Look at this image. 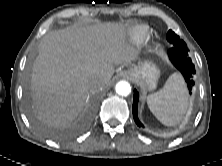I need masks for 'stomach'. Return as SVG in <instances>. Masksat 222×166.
Returning a JSON list of instances; mask_svg holds the SVG:
<instances>
[{"label":"stomach","mask_w":222,"mask_h":166,"mask_svg":"<svg viewBox=\"0 0 222 166\" xmlns=\"http://www.w3.org/2000/svg\"><path fill=\"white\" fill-rule=\"evenodd\" d=\"M127 75L146 90L152 91L156 88L160 71L154 63L145 61L138 67L129 69Z\"/></svg>","instance_id":"1"}]
</instances>
